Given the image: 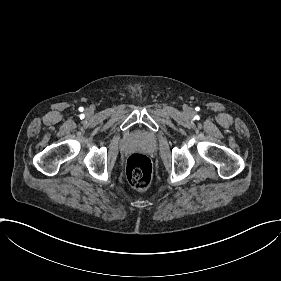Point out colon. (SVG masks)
<instances>
[{
    "instance_id": "obj_1",
    "label": "colon",
    "mask_w": 281,
    "mask_h": 281,
    "mask_svg": "<svg viewBox=\"0 0 281 281\" xmlns=\"http://www.w3.org/2000/svg\"><path fill=\"white\" fill-rule=\"evenodd\" d=\"M125 172L127 181L132 188L143 191L150 187L152 164L144 154H131L126 161Z\"/></svg>"
}]
</instances>
